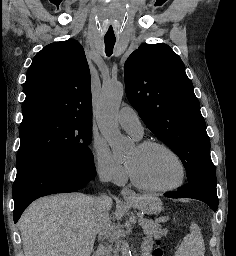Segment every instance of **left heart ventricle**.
Returning a JSON list of instances; mask_svg holds the SVG:
<instances>
[{
	"mask_svg": "<svg viewBox=\"0 0 236 256\" xmlns=\"http://www.w3.org/2000/svg\"><path fill=\"white\" fill-rule=\"evenodd\" d=\"M141 182L151 187H166L181 177V166L170 153L156 149L142 152L137 147L126 158Z\"/></svg>",
	"mask_w": 236,
	"mask_h": 256,
	"instance_id": "obj_1",
	"label": "left heart ventricle"
}]
</instances>
